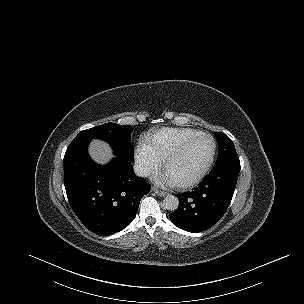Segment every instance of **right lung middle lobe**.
<instances>
[{
    "mask_svg": "<svg viewBox=\"0 0 304 304\" xmlns=\"http://www.w3.org/2000/svg\"><path fill=\"white\" fill-rule=\"evenodd\" d=\"M132 126L106 123L81 131L73 140L102 139L107 141L113 150L127 161H133L134 149L130 145Z\"/></svg>",
    "mask_w": 304,
    "mask_h": 304,
    "instance_id": "1",
    "label": "right lung middle lobe"
}]
</instances>
